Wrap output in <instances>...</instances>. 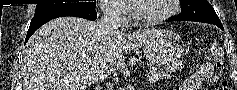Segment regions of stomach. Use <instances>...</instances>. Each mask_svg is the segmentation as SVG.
I'll return each mask as SVG.
<instances>
[{"label":"stomach","instance_id":"1","mask_svg":"<svg viewBox=\"0 0 237 90\" xmlns=\"http://www.w3.org/2000/svg\"><path fill=\"white\" fill-rule=\"evenodd\" d=\"M181 47L170 39L157 35L144 44L147 59L158 66H169L181 57Z\"/></svg>","mask_w":237,"mask_h":90}]
</instances>
